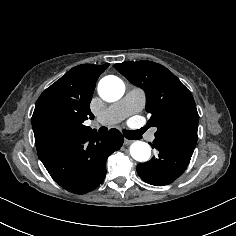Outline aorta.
Wrapping results in <instances>:
<instances>
[{"instance_id":"1","label":"aorta","mask_w":236,"mask_h":236,"mask_svg":"<svg viewBox=\"0 0 236 236\" xmlns=\"http://www.w3.org/2000/svg\"><path fill=\"white\" fill-rule=\"evenodd\" d=\"M125 92L123 81L113 75L102 78L98 84L100 97L107 102H114L122 98ZM130 154L133 159L139 162H146L150 159L151 148L142 141H136L130 146Z\"/></svg>"}]
</instances>
